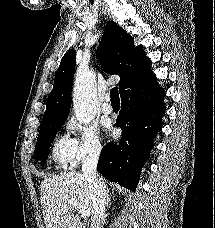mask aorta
Returning <instances> with one entry per match:
<instances>
[{
  "label": "aorta",
  "instance_id": "762f6f07",
  "mask_svg": "<svg viewBox=\"0 0 215 228\" xmlns=\"http://www.w3.org/2000/svg\"><path fill=\"white\" fill-rule=\"evenodd\" d=\"M95 78L77 76L73 90L75 116L80 124H90L97 112Z\"/></svg>",
  "mask_w": 215,
  "mask_h": 228
}]
</instances>
